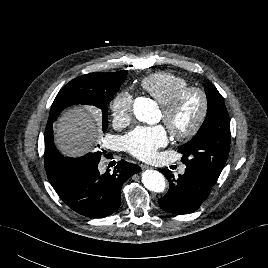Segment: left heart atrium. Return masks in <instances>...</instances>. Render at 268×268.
<instances>
[{"label":"left heart atrium","mask_w":268,"mask_h":268,"mask_svg":"<svg viewBox=\"0 0 268 268\" xmlns=\"http://www.w3.org/2000/svg\"><path fill=\"white\" fill-rule=\"evenodd\" d=\"M168 142L167 132L161 125L139 126L124 137L125 149L134 157L151 161Z\"/></svg>","instance_id":"39dd6f15"}]
</instances>
